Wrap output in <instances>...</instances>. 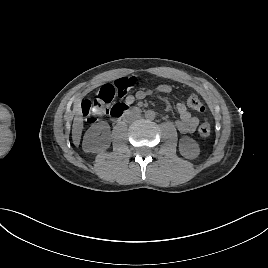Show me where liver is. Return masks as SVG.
<instances>
[{
  "mask_svg": "<svg viewBox=\"0 0 268 268\" xmlns=\"http://www.w3.org/2000/svg\"><path fill=\"white\" fill-rule=\"evenodd\" d=\"M83 129V118L81 115V111L78 110L76 116L74 117L73 125H72V139L75 145H79L81 139V133Z\"/></svg>",
  "mask_w": 268,
  "mask_h": 268,
  "instance_id": "obj_1",
  "label": "liver"
}]
</instances>
